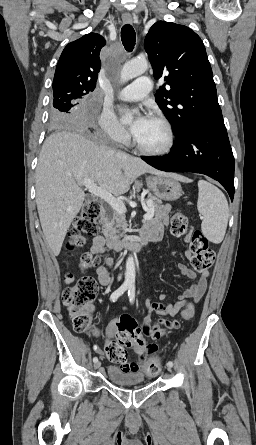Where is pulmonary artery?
Listing matches in <instances>:
<instances>
[{"label":"pulmonary artery","mask_w":256,"mask_h":445,"mask_svg":"<svg viewBox=\"0 0 256 445\" xmlns=\"http://www.w3.org/2000/svg\"><path fill=\"white\" fill-rule=\"evenodd\" d=\"M152 88V82L148 77H140L123 88L119 94L124 101H138L147 96Z\"/></svg>","instance_id":"obj_1"}]
</instances>
